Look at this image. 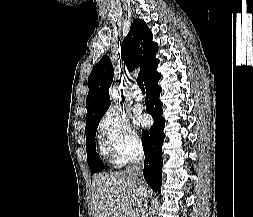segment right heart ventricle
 <instances>
[{"label": "right heart ventricle", "instance_id": "right-heart-ventricle-1", "mask_svg": "<svg viewBox=\"0 0 253 217\" xmlns=\"http://www.w3.org/2000/svg\"><path fill=\"white\" fill-rule=\"evenodd\" d=\"M100 150L103 155H106L111 158V149L109 148V146L106 143H104V142L100 143Z\"/></svg>", "mask_w": 253, "mask_h": 217}]
</instances>
